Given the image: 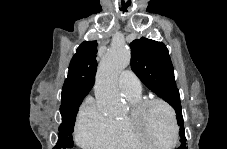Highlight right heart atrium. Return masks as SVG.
Returning <instances> with one entry per match:
<instances>
[{"label": "right heart atrium", "instance_id": "right-heart-atrium-1", "mask_svg": "<svg viewBox=\"0 0 227 149\" xmlns=\"http://www.w3.org/2000/svg\"><path fill=\"white\" fill-rule=\"evenodd\" d=\"M113 119L104 115L91 98L86 99L78 112L75 124L77 142L87 149L109 146Z\"/></svg>", "mask_w": 227, "mask_h": 149}]
</instances>
